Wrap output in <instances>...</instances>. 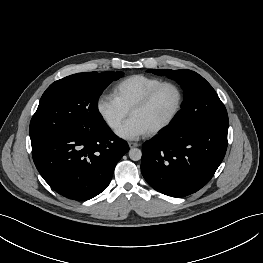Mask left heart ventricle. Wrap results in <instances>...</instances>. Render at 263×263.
<instances>
[{
    "instance_id": "left-heart-ventricle-1",
    "label": "left heart ventricle",
    "mask_w": 263,
    "mask_h": 263,
    "mask_svg": "<svg viewBox=\"0 0 263 263\" xmlns=\"http://www.w3.org/2000/svg\"><path fill=\"white\" fill-rule=\"evenodd\" d=\"M177 100V91L171 86H164L147 106L134 111L131 116L137 118L150 131L172 114Z\"/></svg>"
}]
</instances>
